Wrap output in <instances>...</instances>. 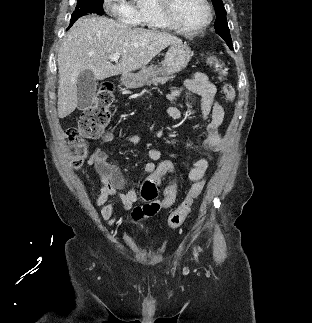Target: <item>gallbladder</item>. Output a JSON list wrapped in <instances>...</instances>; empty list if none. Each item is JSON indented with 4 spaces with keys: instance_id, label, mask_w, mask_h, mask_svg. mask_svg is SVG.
Here are the masks:
<instances>
[{
    "instance_id": "obj_1",
    "label": "gallbladder",
    "mask_w": 312,
    "mask_h": 323,
    "mask_svg": "<svg viewBox=\"0 0 312 323\" xmlns=\"http://www.w3.org/2000/svg\"><path fill=\"white\" fill-rule=\"evenodd\" d=\"M97 82L91 70H83L77 78L78 110L92 106L96 94Z\"/></svg>"
}]
</instances>
